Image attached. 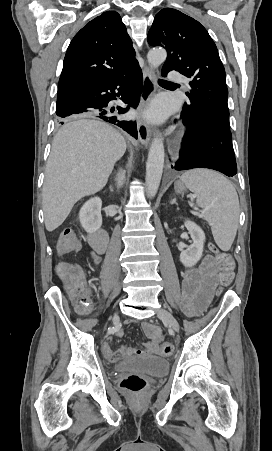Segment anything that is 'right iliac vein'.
<instances>
[{
  "label": "right iliac vein",
  "mask_w": 272,
  "mask_h": 451,
  "mask_svg": "<svg viewBox=\"0 0 272 451\" xmlns=\"http://www.w3.org/2000/svg\"><path fill=\"white\" fill-rule=\"evenodd\" d=\"M118 317H119L118 314L115 313L113 318H114V319H117Z\"/></svg>",
  "instance_id": "63e3f726"
}]
</instances>
